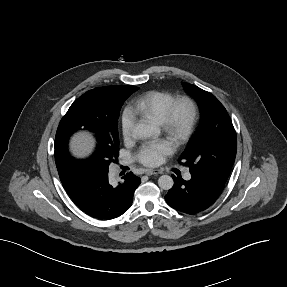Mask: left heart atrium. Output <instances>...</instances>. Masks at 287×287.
I'll use <instances>...</instances> for the list:
<instances>
[{
    "label": "left heart atrium",
    "mask_w": 287,
    "mask_h": 287,
    "mask_svg": "<svg viewBox=\"0 0 287 287\" xmlns=\"http://www.w3.org/2000/svg\"><path fill=\"white\" fill-rule=\"evenodd\" d=\"M173 150L174 145L169 141H151L141 147L138 158L144 165L155 167L163 163Z\"/></svg>",
    "instance_id": "left-heart-atrium-1"
}]
</instances>
